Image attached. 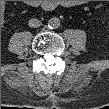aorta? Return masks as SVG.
I'll return each mask as SVG.
<instances>
[{
    "instance_id": "1",
    "label": "aorta",
    "mask_w": 109,
    "mask_h": 109,
    "mask_svg": "<svg viewBox=\"0 0 109 109\" xmlns=\"http://www.w3.org/2000/svg\"><path fill=\"white\" fill-rule=\"evenodd\" d=\"M48 26L52 29H56L60 26V20L56 17L49 19Z\"/></svg>"
}]
</instances>
